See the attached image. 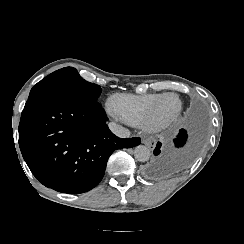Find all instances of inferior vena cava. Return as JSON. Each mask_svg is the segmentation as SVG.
Returning a JSON list of instances; mask_svg holds the SVG:
<instances>
[{
    "label": "inferior vena cava",
    "instance_id": "602c4592",
    "mask_svg": "<svg viewBox=\"0 0 244 244\" xmlns=\"http://www.w3.org/2000/svg\"><path fill=\"white\" fill-rule=\"evenodd\" d=\"M109 129L111 130L112 133H114L116 136L120 138H129L130 136L129 130L117 125L114 122L109 123Z\"/></svg>",
    "mask_w": 244,
    "mask_h": 244
}]
</instances>
